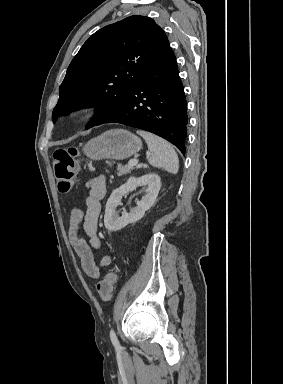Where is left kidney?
<instances>
[{"mask_svg": "<svg viewBox=\"0 0 283 384\" xmlns=\"http://www.w3.org/2000/svg\"><path fill=\"white\" fill-rule=\"evenodd\" d=\"M138 186H148L147 190L144 188L145 196H143L140 202H137L136 208L131 210L130 214L123 212L122 216H118L115 210L117 206H120L122 196L133 192ZM161 188V182L157 174H146L141 178H129L126 184L113 190L107 204L104 216V226L108 232H118L125 228L127 224H134L143 218L146 210H149L153 206Z\"/></svg>", "mask_w": 283, "mask_h": 384, "instance_id": "1", "label": "left kidney"}]
</instances>
